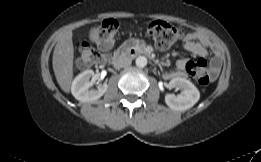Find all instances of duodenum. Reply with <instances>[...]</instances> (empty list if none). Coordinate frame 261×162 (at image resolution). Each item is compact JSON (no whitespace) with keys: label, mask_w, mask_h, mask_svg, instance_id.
<instances>
[{"label":"duodenum","mask_w":261,"mask_h":162,"mask_svg":"<svg viewBox=\"0 0 261 162\" xmlns=\"http://www.w3.org/2000/svg\"><path fill=\"white\" fill-rule=\"evenodd\" d=\"M130 51L133 53H137L138 51L136 49H133V48H130ZM106 62L109 63V64H112V65H117L120 63L119 59H118V55H114V56H111V57H108L106 59Z\"/></svg>","instance_id":"1"}]
</instances>
